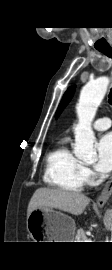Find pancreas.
<instances>
[{
    "mask_svg": "<svg viewBox=\"0 0 112 270\" xmlns=\"http://www.w3.org/2000/svg\"><path fill=\"white\" fill-rule=\"evenodd\" d=\"M87 239L85 232L82 228L78 229L75 236V242H85Z\"/></svg>",
    "mask_w": 112,
    "mask_h": 270,
    "instance_id": "pancreas-1",
    "label": "pancreas"
}]
</instances>
